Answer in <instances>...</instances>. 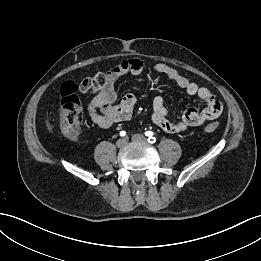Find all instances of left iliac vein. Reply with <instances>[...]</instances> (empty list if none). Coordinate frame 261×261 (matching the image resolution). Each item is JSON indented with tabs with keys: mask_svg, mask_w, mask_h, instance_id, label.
Listing matches in <instances>:
<instances>
[{
	"mask_svg": "<svg viewBox=\"0 0 261 261\" xmlns=\"http://www.w3.org/2000/svg\"><path fill=\"white\" fill-rule=\"evenodd\" d=\"M132 140L135 142H146L147 141L146 137L142 134H134L132 136Z\"/></svg>",
	"mask_w": 261,
	"mask_h": 261,
	"instance_id": "obj_1",
	"label": "left iliac vein"
}]
</instances>
